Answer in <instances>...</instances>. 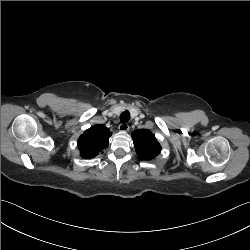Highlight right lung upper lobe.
<instances>
[{
	"label": "right lung upper lobe",
	"mask_w": 250,
	"mask_h": 250,
	"mask_svg": "<svg viewBox=\"0 0 250 250\" xmlns=\"http://www.w3.org/2000/svg\"><path fill=\"white\" fill-rule=\"evenodd\" d=\"M111 132L104 125H95L86 130L78 139V148L83 158L95 157L103 148L108 147Z\"/></svg>",
	"instance_id": "1"
}]
</instances>
